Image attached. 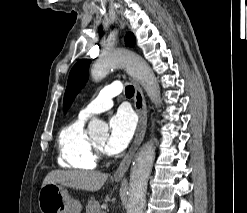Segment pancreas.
<instances>
[{
  "mask_svg": "<svg viewBox=\"0 0 247 213\" xmlns=\"http://www.w3.org/2000/svg\"><path fill=\"white\" fill-rule=\"evenodd\" d=\"M86 213H103L99 202L94 197L87 201Z\"/></svg>",
  "mask_w": 247,
  "mask_h": 213,
  "instance_id": "cf45deb5",
  "label": "pancreas"
}]
</instances>
